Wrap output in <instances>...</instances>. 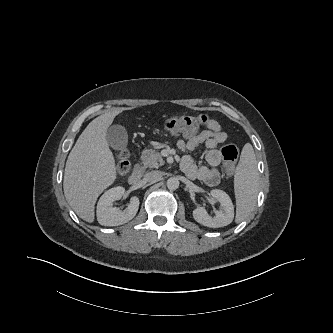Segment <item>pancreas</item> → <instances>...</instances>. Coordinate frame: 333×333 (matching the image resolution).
<instances>
[{"label":"pancreas","mask_w":333,"mask_h":333,"mask_svg":"<svg viewBox=\"0 0 333 333\" xmlns=\"http://www.w3.org/2000/svg\"><path fill=\"white\" fill-rule=\"evenodd\" d=\"M142 163L145 168H158L164 164V161L158 151L146 149L142 152Z\"/></svg>","instance_id":"pancreas-1"}]
</instances>
